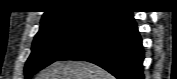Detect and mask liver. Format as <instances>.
<instances>
[{
	"label": "liver",
	"instance_id": "obj_1",
	"mask_svg": "<svg viewBox=\"0 0 177 79\" xmlns=\"http://www.w3.org/2000/svg\"><path fill=\"white\" fill-rule=\"evenodd\" d=\"M36 79H112V76L86 61H57L42 70Z\"/></svg>",
	"mask_w": 177,
	"mask_h": 79
}]
</instances>
